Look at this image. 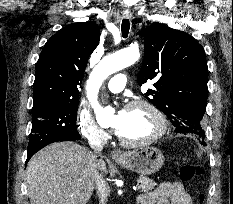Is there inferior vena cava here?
<instances>
[{
    "instance_id": "inferior-vena-cava-1",
    "label": "inferior vena cava",
    "mask_w": 233,
    "mask_h": 204,
    "mask_svg": "<svg viewBox=\"0 0 233 204\" xmlns=\"http://www.w3.org/2000/svg\"><path fill=\"white\" fill-rule=\"evenodd\" d=\"M89 144L94 151L93 160H92L93 161L92 170L94 171L93 173L94 182L96 184V189L100 198V204H104V201L106 199V188L102 176L98 171L99 156H97L103 150L104 141L100 137H95L89 142Z\"/></svg>"
}]
</instances>
